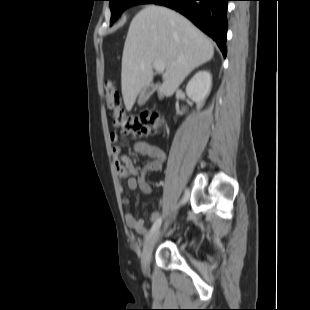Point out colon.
<instances>
[{"label": "colon", "mask_w": 310, "mask_h": 310, "mask_svg": "<svg viewBox=\"0 0 310 310\" xmlns=\"http://www.w3.org/2000/svg\"><path fill=\"white\" fill-rule=\"evenodd\" d=\"M105 100L112 112L114 126L122 133L146 136L156 132L161 126V115L157 111H144L138 114L124 111L119 91L113 82L105 83Z\"/></svg>", "instance_id": "obj_1"}]
</instances>
